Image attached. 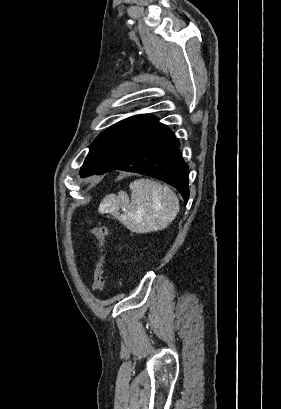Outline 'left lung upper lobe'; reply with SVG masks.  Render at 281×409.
<instances>
[{
    "mask_svg": "<svg viewBox=\"0 0 281 409\" xmlns=\"http://www.w3.org/2000/svg\"><path fill=\"white\" fill-rule=\"evenodd\" d=\"M163 126L157 118L149 114L133 116L113 125L94 140L81 167L80 175L86 177L95 174L113 157Z\"/></svg>",
    "mask_w": 281,
    "mask_h": 409,
    "instance_id": "obj_1",
    "label": "left lung upper lobe"
}]
</instances>
